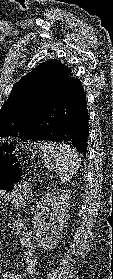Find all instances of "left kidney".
<instances>
[{"mask_svg":"<svg viewBox=\"0 0 113 279\" xmlns=\"http://www.w3.org/2000/svg\"><path fill=\"white\" fill-rule=\"evenodd\" d=\"M70 195L69 190L50 189L37 203L33 229L39 247L49 249L57 241L68 220ZM45 216H50L48 223Z\"/></svg>","mask_w":113,"mask_h":279,"instance_id":"obj_1","label":"left kidney"}]
</instances>
